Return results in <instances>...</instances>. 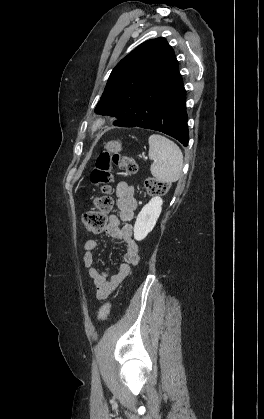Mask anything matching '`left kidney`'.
<instances>
[{
  "label": "left kidney",
  "instance_id": "obj_1",
  "mask_svg": "<svg viewBox=\"0 0 264 419\" xmlns=\"http://www.w3.org/2000/svg\"><path fill=\"white\" fill-rule=\"evenodd\" d=\"M162 204L160 197H154L142 208L134 225V238L137 241L143 240L153 230L162 211Z\"/></svg>",
  "mask_w": 264,
  "mask_h": 419
}]
</instances>
